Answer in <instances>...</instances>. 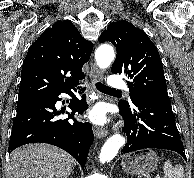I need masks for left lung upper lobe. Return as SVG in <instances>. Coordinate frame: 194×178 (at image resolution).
I'll use <instances>...</instances> for the list:
<instances>
[{"label":"left lung upper lobe","mask_w":194,"mask_h":178,"mask_svg":"<svg viewBox=\"0 0 194 178\" xmlns=\"http://www.w3.org/2000/svg\"><path fill=\"white\" fill-rule=\"evenodd\" d=\"M99 41L115 45L117 56L112 73L126 75L130 97L134 93L168 96L160 55L144 31L119 20L108 26ZM119 104L129 106L126 101Z\"/></svg>","instance_id":"5c2ea615"}]
</instances>
